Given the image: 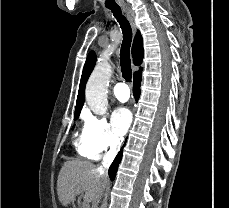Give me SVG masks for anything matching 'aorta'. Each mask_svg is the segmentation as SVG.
Segmentation results:
<instances>
[{
	"label": "aorta",
	"mask_w": 229,
	"mask_h": 208,
	"mask_svg": "<svg viewBox=\"0 0 229 208\" xmlns=\"http://www.w3.org/2000/svg\"><path fill=\"white\" fill-rule=\"evenodd\" d=\"M112 74L107 62H100L94 68L85 90L88 106L96 115H104L108 108L107 87Z\"/></svg>",
	"instance_id": "obj_1"
}]
</instances>
